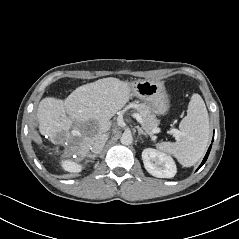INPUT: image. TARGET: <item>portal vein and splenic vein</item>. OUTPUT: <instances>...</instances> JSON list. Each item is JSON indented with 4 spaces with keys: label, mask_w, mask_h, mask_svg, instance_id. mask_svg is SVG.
<instances>
[{
    "label": "portal vein and splenic vein",
    "mask_w": 239,
    "mask_h": 239,
    "mask_svg": "<svg viewBox=\"0 0 239 239\" xmlns=\"http://www.w3.org/2000/svg\"><path fill=\"white\" fill-rule=\"evenodd\" d=\"M132 116L137 120V122H139V124L143 125V119H142V117H141L140 114L135 113V114H133ZM159 131H160L159 128H155V129H153L149 134H150V135H153V134L158 133ZM170 133L173 134V136H174L175 138H178V137H179V134H180L179 130H177V129L171 130Z\"/></svg>",
    "instance_id": "1"
}]
</instances>
